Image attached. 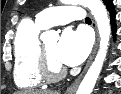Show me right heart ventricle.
Returning <instances> with one entry per match:
<instances>
[{"mask_svg":"<svg viewBox=\"0 0 121 94\" xmlns=\"http://www.w3.org/2000/svg\"><path fill=\"white\" fill-rule=\"evenodd\" d=\"M38 21L24 20L17 28L14 39V81L21 89L39 87L43 80L38 70L40 33L44 30Z\"/></svg>","mask_w":121,"mask_h":94,"instance_id":"obj_1","label":"right heart ventricle"}]
</instances>
